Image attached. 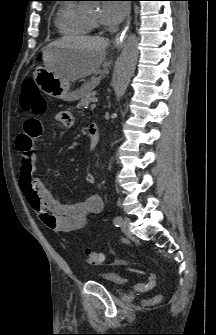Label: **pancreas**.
<instances>
[{"mask_svg": "<svg viewBox=\"0 0 216 335\" xmlns=\"http://www.w3.org/2000/svg\"><path fill=\"white\" fill-rule=\"evenodd\" d=\"M83 96L80 102L77 104V108H88L90 102L95 101L96 92L92 91L90 85L83 87Z\"/></svg>", "mask_w": 216, "mask_h": 335, "instance_id": "cf45deb5", "label": "pancreas"}]
</instances>
